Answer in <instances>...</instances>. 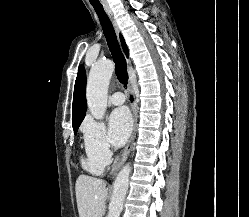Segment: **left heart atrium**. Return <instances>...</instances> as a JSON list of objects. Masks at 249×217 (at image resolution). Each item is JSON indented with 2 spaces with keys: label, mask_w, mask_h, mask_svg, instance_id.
Segmentation results:
<instances>
[{
  "label": "left heart atrium",
  "mask_w": 249,
  "mask_h": 217,
  "mask_svg": "<svg viewBox=\"0 0 249 217\" xmlns=\"http://www.w3.org/2000/svg\"><path fill=\"white\" fill-rule=\"evenodd\" d=\"M110 136L112 142L121 146L127 140L131 128L132 119L126 108L115 109L109 118Z\"/></svg>",
  "instance_id": "39dd6f15"
}]
</instances>
